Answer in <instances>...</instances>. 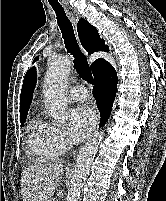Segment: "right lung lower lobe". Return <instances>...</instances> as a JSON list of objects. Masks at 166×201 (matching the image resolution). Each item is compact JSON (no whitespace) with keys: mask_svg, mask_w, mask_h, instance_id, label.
Here are the masks:
<instances>
[{"mask_svg":"<svg viewBox=\"0 0 166 201\" xmlns=\"http://www.w3.org/2000/svg\"><path fill=\"white\" fill-rule=\"evenodd\" d=\"M96 87L93 91L100 112L102 127L108 120L116 96L118 77L109 62H105L94 74Z\"/></svg>","mask_w":166,"mask_h":201,"instance_id":"1","label":"right lung lower lobe"}]
</instances>
